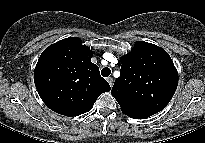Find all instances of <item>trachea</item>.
I'll return each instance as SVG.
<instances>
[{"label":"trachea","instance_id":"3493384b","mask_svg":"<svg viewBox=\"0 0 205 143\" xmlns=\"http://www.w3.org/2000/svg\"><path fill=\"white\" fill-rule=\"evenodd\" d=\"M101 74H102L103 77H108L111 74V70L109 68H107V67L103 68L101 70Z\"/></svg>","mask_w":205,"mask_h":143}]
</instances>
